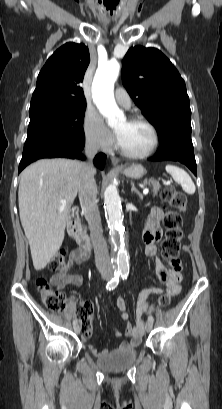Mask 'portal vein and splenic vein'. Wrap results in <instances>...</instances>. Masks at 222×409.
Wrapping results in <instances>:
<instances>
[{
	"label": "portal vein and splenic vein",
	"mask_w": 222,
	"mask_h": 409,
	"mask_svg": "<svg viewBox=\"0 0 222 409\" xmlns=\"http://www.w3.org/2000/svg\"><path fill=\"white\" fill-rule=\"evenodd\" d=\"M148 192H149L148 188H145V189L143 190V193H144L145 195L148 194ZM61 203H62V204H66V200H62Z\"/></svg>",
	"instance_id": "18ae733b"
}]
</instances>
